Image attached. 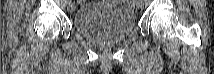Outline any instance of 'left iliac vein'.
I'll return each mask as SVG.
<instances>
[{
  "label": "left iliac vein",
  "instance_id": "left-iliac-vein-1",
  "mask_svg": "<svg viewBox=\"0 0 214 74\" xmlns=\"http://www.w3.org/2000/svg\"><path fill=\"white\" fill-rule=\"evenodd\" d=\"M136 7H137L138 9H140V8L142 7V1H137V2H136Z\"/></svg>",
  "mask_w": 214,
  "mask_h": 74
}]
</instances>
